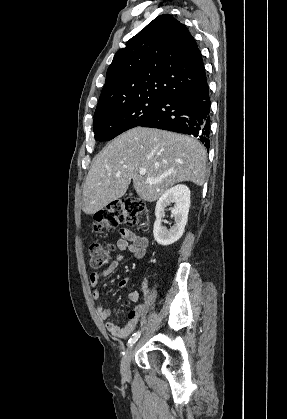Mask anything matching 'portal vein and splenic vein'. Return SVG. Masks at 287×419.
Returning a JSON list of instances; mask_svg holds the SVG:
<instances>
[{
    "mask_svg": "<svg viewBox=\"0 0 287 419\" xmlns=\"http://www.w3.org/2000/svg\"><path fill=\"white\" fill-rule=\"evenodd\" d=\"M139 174L140 175H145L146 174V170L145 169L139 170ZM147 181L150 182V183L156 182L153 178H150V177H147Z\"/></svg>",
    "mask_w": 287,
    "mask_h": 419,
    "instance_id": "portal-vein-and-splenic-vein-1",
    "label": "portal vein and splenic vein"
}]
</instances>
